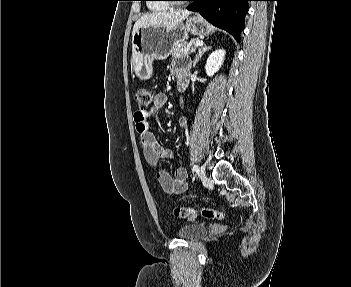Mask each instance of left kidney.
I'll return each instance as SVG.
<instances>
[{
	"label": "left kidney",
	"instance_id": "obj_1",
	"mask_svg": "<svg viewBox=\"0 0 351 287\" xmlns=\"http://www.w3.org/2000/svg\"><path fill=\"white\" fill-rule=\"evenodd\" d=\"M225 54L224 49H218L209 55L205 65V71L208 76H213L221 68Z\"/></svg>",
	"mask_w": 351,
	"mask_h": 287
}]
</instances>
